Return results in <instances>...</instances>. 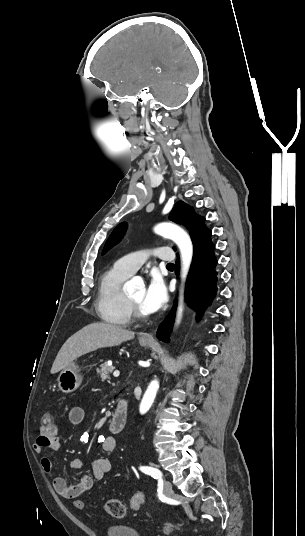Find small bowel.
<instances>
[{
	"label": "small bowel",
	"mask_w": 305,
	"mask_h": 536,
	"mask_svg": "<svg viewBox=\"0 0 305 536\" xmlns=\"http://www.w3.org/2000/svg\"><path fill=\"white\" fill-rule=\"evenodd\" d=\"M69 422L73 425L81 424L85 419V410L80 406H74L68 413ZM97 443L104 452H113L116 449V440L111 436H102L97 438ZM62 447V441L58 433V427H39V432L33 445L34 451L41 454L40 464L42 469L49 473L53 469L50 458L43 454L44 450H59ZM71 470H80L86 466L91 469V475H83L75 485H68L63 477L53 479V488L55 492L66 499L67 495H77L89 490L94 480H101L112 469V463L108 458L98 457L91 461L75 458L68 464Z\"/></svg>",
	"instance_id": "small-bowel-1"
}]
</instances>
